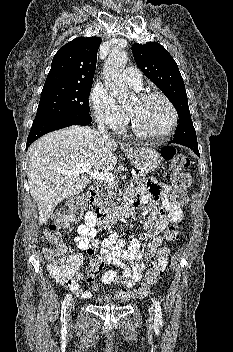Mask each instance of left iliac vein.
<instances>
[{"label": "left iliac vein", "mask_w": 233, "mask_h": 352, "mask_svg": "<svg viewBox=\"0 0 233 352\" xmlns=\"http://www.w3.org/2000/svg\"><path fill=\"white\" fill-rule=\"evenodd\" d=\"M148 313H149L148 321H149V323L152 324L155 320V310H154L153 306H151V305L148 306Z\"/></svg>", "instance_id": "left-iliac-vein-1"}]
</instances>
